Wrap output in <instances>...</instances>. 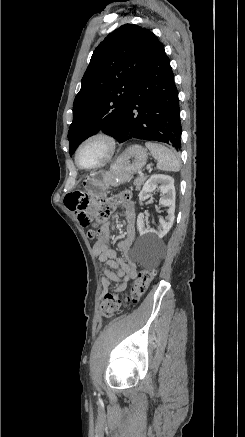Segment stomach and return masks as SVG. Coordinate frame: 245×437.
<instances>
[{
  "label": "stomach",
  "mask_w": 245,
  "mask_h": 437,
  "mask_svg": "<svg viewBox=\"0 0 245 437\" xmlns=\"http://www.w3.org/2000/svg\"><path fill=\"white\" fill-rule=\"evenodd\" d=\"M147 162V150L141 145L129 146L107 172L96 171L88 174L82 187L95 197H100L111 188L124 184L133 174L141 170Z\"/></svg>",
  "instance_id": "stomach-1"
}]
</instances>
